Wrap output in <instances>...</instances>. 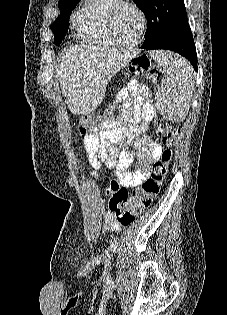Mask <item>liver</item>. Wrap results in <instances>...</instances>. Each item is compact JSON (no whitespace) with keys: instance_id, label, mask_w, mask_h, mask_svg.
<instances>
[{"instance_id":"1","label":"liver","mask_w":227,"mask_h":315,"mask_svg":"<svg viewBox=\"0 0 227 315\" xmlns=\"http://www.w3.org/2000/svg\"><path fill=\"white\" fill-rule=\"evenodd\" d=\"M134 55L106 46L75 45L64 50L56 69L73 114L87 115L102 103L108 82Z\"/></svg>"}]
</instances>
